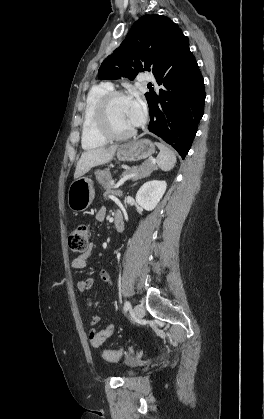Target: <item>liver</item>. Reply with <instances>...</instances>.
<instances>
[{
    "label": "liver",
    "mask_w": 264,
    "mask_h": 419,
    "mask_svg": "<svg viewBox=\"0 0 264 419\" xmlns=\"http://www.w3.org/2000/svg\"><path fill=\"white\" fill-rule=\"evenodd\" d=\"M118 146L113 145L108 148H96L82 153L74 173V179H78L90 171L91 168L106 164L112 160Z\"/></svg>",
    "instance_id": "1"
}]
</instances>
